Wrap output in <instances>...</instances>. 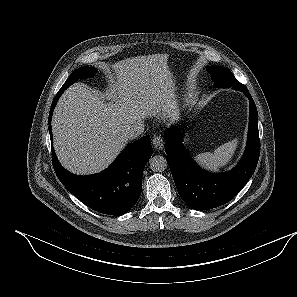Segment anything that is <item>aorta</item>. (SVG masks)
<instances>
[{"label":"aorta","instance_id":"obj_1","mask_svg":"<svg viewBox=\"0 0 297 297\" xmlns=\"http://www.w3.org/2000/svg\"><path fill=\"white\" fill-rule=\"evenodd\" d=\"M150 169L154 172H163L167 168V161L165 157L156 155L149 160Z\"/></svg>","mask_w":297,"mask_h":297}]
</instances>
